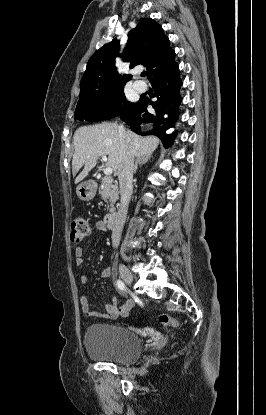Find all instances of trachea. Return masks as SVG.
<instances>
[{
  "label": "trachea",
  "instance_id": "trachea-1",
  "mask_svg": "<svg viewBox=\"0 0 266 415\" xmlns=\"http://www.w3.org/2000/svg\"><path fill=\"white\" fill-rule=\"evenodd\" d=\"M143 77H145L146 75H147V72H142V74H141Z\"/></svg>",
  "mask_w": 266,
  "mask_h": 415
}]
</instances>
